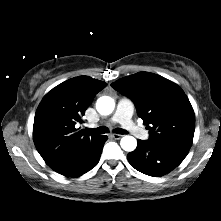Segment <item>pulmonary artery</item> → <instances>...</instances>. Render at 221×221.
Masks as SVG:
<instances>
[{
  "mask_svg": "<svg viewBox=\"0 0 221 221\" xmlns=\"http://www.w3.org/2000/svg\"><path fill=\"white\" fill-rule=\"evenodd\" d=\"M133 105L128 99H121L118 102L115 114L111 117L108 124L119 123L124 129L135 137L147 139L148 133L132 120Z\"/></svg>",
  "mask_w": 221,
  "mask_h": 221,
  "instance_id": "1",
  "label": "pulmonary artery"
}]
</instances>
